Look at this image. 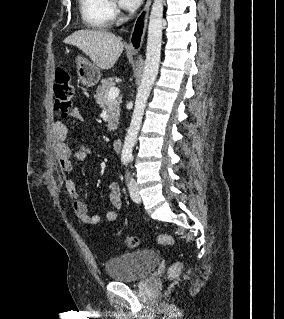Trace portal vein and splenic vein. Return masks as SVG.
<instances>
[{"label": "portal vein and splenic vein", "instance_id": "18ae733b", "mask_svg": "<svg viewBox=\"0 0 284 319\" xmlns=\"http://www.w3.org/2000/svg\"><path fill=\"white\" fill-rule=\"evenodd\" d=\"M119 93H120V90L117 87H112L109 90V93H108V96H107L108 101L115 100L118 97Z\"/></svg>", "mask_w": 284, "mask_h": 319}]
</instances>
